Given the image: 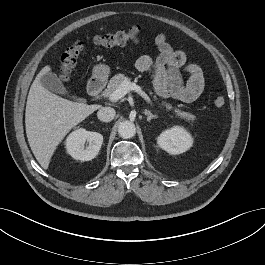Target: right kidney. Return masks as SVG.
<instances>
[{
    "instance_id": "1",
    "label": "right kidney",
    "mask_w": 265,
    "mask_h": 265,
    "mask_svg": "<svg viewBox=\"0 0 265 265\" xmlns=\"http://www.w3.org/2000/svg\"><path fill=\"white\" fill-rule=\"evenodd\" d=\"M85 142L88 146L85 147ZM103 143V136L98 132L83 128L73 131L66 139L67 153L76 160L89 161L98 153Z\"/></svg>"
}]
</instances>
